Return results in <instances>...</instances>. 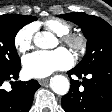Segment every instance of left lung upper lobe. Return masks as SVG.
<instances>
[{"label": "left lung upper lobe", "instance_id": "1", "mask_svg": "<svg viewBox=\"0 0 112 112\" xmlns=\"http://www.w3.org/2000/svg\"><path fill=\"white\" fill-rule=\"evenodd\" d=\"M60 17L77 24L87 39L86 54L76 69L87 71L112 64V27L106 21L83 12L61 14Z\"/></svg>", "mask_w": 112, "mask_h": 112}]
</instances>
